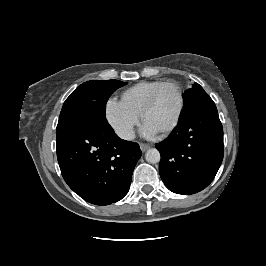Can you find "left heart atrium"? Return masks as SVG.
<instances>
[{
  "label": "left heart atrium",
  "mask_w": 266,
  "mask_h": 266,
  "mask_svg": "<svg viewBox=\"0 0 266 266\" xmlns=\"http://www.w3.org/2000/svg\"><path fill=\"white\" fill-rule=\"evenodd\" d=\"M158 132L156 128H154L152 125L149 123L145 122L143 126V133L146 136H153Z\"/></svg>",
  "instance_id": "39dd6f15"
}]
</instances>
